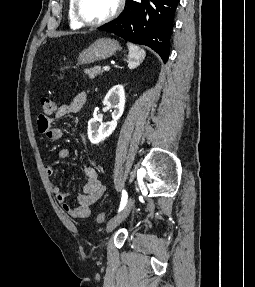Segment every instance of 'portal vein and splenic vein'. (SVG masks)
Instances as JSON below:
<instances>
[{"instance_id": "18ae733b", "label": "portal vein and splenic vein", "mask_w": 255, "mask_h": 287, "mask_svg": "<svg viewBox=\"0 0 255 287\" xmlns=\"http://www.w3.org/2000/svg\"><path fill=\"white\" fill-rule=\"evenodd\" d=\"M103 70H110L109 66H104Z\"/></svg>"}]
</instances>
